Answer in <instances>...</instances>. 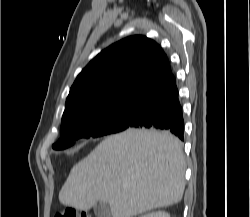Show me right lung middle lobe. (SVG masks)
Returning <instances> with one entry per match:
<instances>
[{"mask_svg": "<svg viewBox=\"0 0 250 217\" xmlns=\"http://www.w3.org/2000/svg\"><path fill=\"white\" fill-rule=\"evenodd\" d=\"M138 101L115 103L77 114L62 122L61 138L52 145L53 149L68 148L80 138H96L123 131L128 128Z\"/></svg>", "mask_w": 250, "mask_h": 217, "instance_id": "obj_1", "label": "right lung middle lobe"}]
</instances>
